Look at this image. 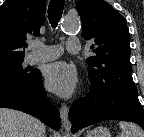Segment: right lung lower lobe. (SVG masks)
Listing matches in <instances>:
<instances>
[{
    "mask_svg": "<svg viewBox=\"0 0 144 137\" xmlns=\"http://www.w3.org/2000/svg\"><path fill=\"white\" fill-rule=\"evenodd\" d=\"M0 107L36 115L49 127L60 128L59 113L47 99L46 92L41 85L40 72L35 81L26 85L0 84Z\"/></svg>",
    "mask_w": 144,
    "mask_h": 137,
    "instance_id": "1",
    "label": "right lung lower lobe"
}]
</instances>
